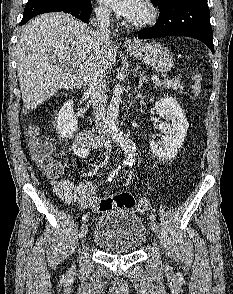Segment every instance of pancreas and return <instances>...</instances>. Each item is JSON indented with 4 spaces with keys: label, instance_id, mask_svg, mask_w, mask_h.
I'll list each match as a JSON object with an SVG mask.
<instances>
[{
    "label": "pancreas",
    "instance_id": "1",
    "mask_svg": "<svg viewBox=\"0 0 233 294\" xmlns=\"http://www.w3.org/2000/svg\"><path fill=\"white\" fill-rule=\"evenodd\" d=\"M157 87H164L167 89H173L174 91L182 90L183 84L180 82V79L174 77L172 79H164L163 81H158L155 83Z\"/></svg>",
    "mask_w": 233,
    "mask_h": 294
}]
</instances>
